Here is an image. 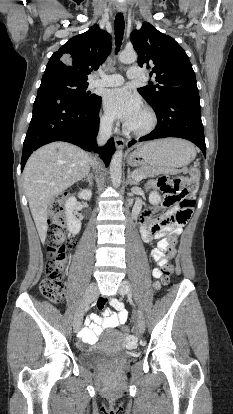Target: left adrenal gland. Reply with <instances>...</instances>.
Wrapping results in <instances>:
<instances>
[{
    "instance_id": "1",
    "label": "left adrenal gland",
    "mask_w": 233,
    "mask_h": 414,
    "mask_svg": "<svg viewBox=\"0 0 233 414\" xmlns=\"http://www.w3.org/2000/svg\"><path fill=\"white\" fill-rule=\"evenodd\" d=\"M127 184L129 185H136L137 182L133 179V176L130 172V168H128V172H127Z\"/></svg>"
}]
</instances>
